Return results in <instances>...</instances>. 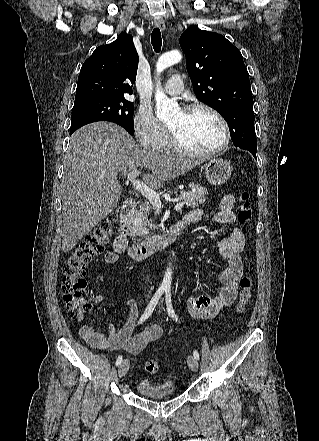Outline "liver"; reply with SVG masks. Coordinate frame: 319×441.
<instances>
[{
    "instance_id": "liver-1",
    "label": "liver",
    "mask_w": 319,
    "mask_h": 441,
    "mask_svg": "<svg viewBox=\"0 0 319 441\" xmlns=\"http://www.w3.org/2000/svg\"><path fill=\"white\" fill-rule=\"evenodd\" d=\"M193 159L160 155L141 148L122 127L99 121L70 137L61 180L62 248L69 252L116 207L119 172L149 169L143 176L154 189L199 165Z\"/></svg>"
}]
</instances>
